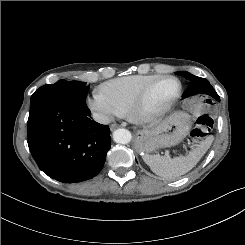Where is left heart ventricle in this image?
<instances>
[{
    "label": "left heart ventricle",
    "instance_id": "left-heart-ventricle-1",
    "mask_svg": "<svg viewBox=\"0 0 245 245\" xmlns=\"http://www.w3.org/2000/svg\"><path fill=\"white\" fill-rule=\"evenodd\" d=\"M178 84L174 80L162 82L151 94L148 106L151 109L165 105L176 93Z\"/></svg>",
    "mask_w": 245,
    "mask_h": 245
}]
</instances>
